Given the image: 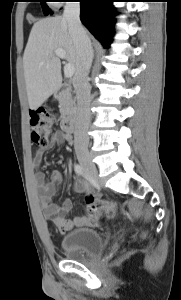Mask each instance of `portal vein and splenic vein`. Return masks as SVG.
<instances>
[{"label": "portal vein and splenic vein", "instance_id": "1", "mask_svg": "<svg viewBox=\"0 0 181 300\" xmlns=\"http://www.w3.org/2000/svg\"><path fill=\"white\" fill-rule=\"evenodd\" d=\"M55 55L61 59L66 58V52L63 49H56ZM75 67L72 64H66L64 66V75L66 78H71L74 75Z\"/></svg>", "mask_w": 181, "mask_h": 300}]
</instances>
